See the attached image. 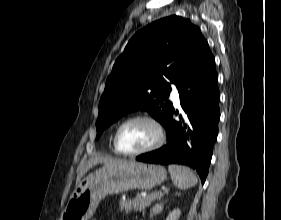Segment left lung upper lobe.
<instances>
[{"label": "left lung upper lobe", "instance_id": "1", "mask_svg": "<svg viewBox=\"0 0 281 220\" xmlns=\"http://www.w3.org/2000/svg\"><path fill=\"white\" fill-rule=\"evenodd\" d=\"M209 49L200 29L172 15L138 31L116 59L99 102L97 139L110 124L144 110L165 125L173 110L171 85H179L192 63Z\"/></svg>", "mask_w": 281, "mask_h": 220}]
</instances>
